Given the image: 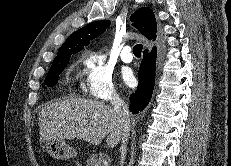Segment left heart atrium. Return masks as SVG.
<instances>
[{"label":"left heart atrium","mask_w":231,"mask_h":166,"mask_svg":"<svg viewBox=\"0 0 231 166\" xmlns=\"http://www.w3.org/2000/svg\"><path fill=\"white\" fill-rule=\"evenodd\" d=\"M122 77H123L124 83L128 86H132L135 82L134 75L130 70L124 71Z\"/></svg>","instance_id":"left-heart-atrium-1"}]
</instances>
